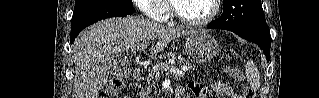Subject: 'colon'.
<instances>
[{
	"label": "colon",
	"mask_w": 319,
	"mask_h": 98,
	"mask_svg": "<svg viewBox=\"0 0 319 98\" xmlns=\"http://www.w3.org/2000/svg\"><path fill=\"white\" fill-rule=\"evenodd\" d=\"M229 74L236 80L242 79V73L238 70H229ZM125 81L121 77H113L110 79L107 88L101 93L100 98H116L119 92L124 88ZM244 98H253V92L246 88L243 93Z\"/></svg>",
	"instance_id": "colon-1"
}]
</instances>
